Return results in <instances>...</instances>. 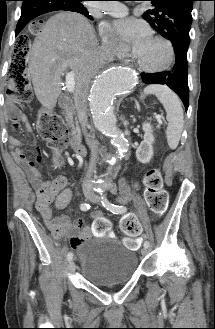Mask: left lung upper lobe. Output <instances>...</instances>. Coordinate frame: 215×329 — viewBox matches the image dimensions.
Returning <instances> with one entry per match:
<instances>
[{
	"instance_id": "1",
	"label": "left lung upper lobe",
	"mask_w": 215,
	"mask_h": 329,
	"mask_svg": "<svg viewBox=\"0 0 215 329\" xmlns=\"http://www.w3.org/2000/svg\"><path fill=\"white\" fill-rule=\"evenodd\" d=\"M153 9L143 14L144 19L162 37L189 46L192 6L195 0H149Z\"/></svg>"
}]
</instances>
